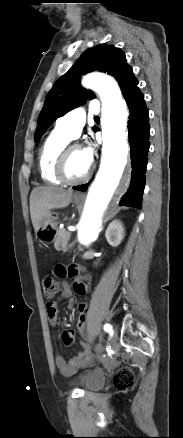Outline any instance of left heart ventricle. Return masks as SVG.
<instances>
[{
    "label": "left heart ventricle",
    "instance_id": "obj_1",
    "mask_svg": "<svg viewBox=\"0 0 183 438\" xmlns=\"http://www.w3.org/2000/svg\"><path fill=\"white\" fill-rule=\"evenodd\" d=\"M90 162L86 159L82 149H74L68 156L66 176L71 180L82 178L88 171Z\"/></svg>",
    "mask_w": 183,
    "mask_h": 438
}]
</instances>
